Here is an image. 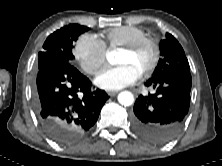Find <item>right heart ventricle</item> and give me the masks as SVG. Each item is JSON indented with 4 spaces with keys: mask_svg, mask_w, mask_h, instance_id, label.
Listing matches in <instances>:
<instances>
[{
    "mask_svg": "<svg viewBox=\"0 0 222 166\" xmlns=\"http://www.w3.org/2000/svg\"><path fill=\"white\" fill-rule=\"evenodd\" d=\"M109 47H122L137 39L146 37L145 32L135 26H120L109 29L104 34Z\"/></svg>",
    "mask_w": 222,
    "mask_h": 166,
    "instance_id": "e07e8e85",
    "label": "right heart ventricle"
}]
</instances>
